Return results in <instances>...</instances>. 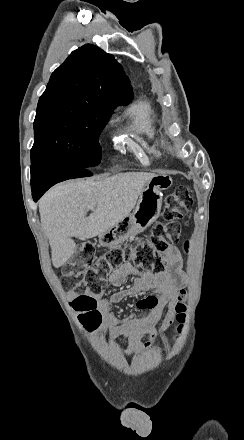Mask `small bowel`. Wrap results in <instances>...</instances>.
<instances>
[{"instance_id":"c3829d8e","label":"small bowel","mask_w":244,"mask_h":440,"mask_svg":"<svg viewBox=\"0 0 244 440\" xmlns=\"http://www.w3.org/2000/svg\"><path fill=\"white\" fill-rule=\"evenodd\" d=\"M185 225L188 226L189 222H186ZM164 264V270L158 274L141 272L130 262H125L121 266L112 269L107 276L110 287H120L129 279L132 280V284L113 292L108 298L104 297V292L87 293L83 296L76 292L71 293L74 300L80 297L95 299L96 308L99 309L98 325H100V333L108 332L109 339L127 336L130 339V347L126 351L127 356L151 347L172 323L173 305L177 299V291L181 284L185 282L187 274L182 256L176 247L172 246L167 250L164 255ZM148 291H154L155 294L148 295L137 303V307L149 310L146 315L136 316L131 314L121 317L111 309L112 304ZM167 305L169 310L162 326L160 329H156L154 324L160 319ZM142 334H147L149 339L145 342H139L138 337Z\"/></svg>"}]
</instances>
